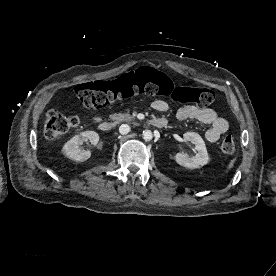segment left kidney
<instances>
[{
    "label": "left kidney",
    "mask_w": 276,
    "mask_h": 276,
    "mask_svg": "<svg viewBox=\"0 0 276 276\" xmlns=\"http://www.w3.org/2000/svg\"><path fill=\"white\" fill-rule=\"evenodd\" d=\"M185 142H191L195 145L196 154L192 157L183 152L175 155L176 162L186 168L196 169L206 165L209 162L208 152L202 137L195 132H186L183 135Z\"/></svg>",
    "instance_id": "5707ae66"
}]
</instances>
